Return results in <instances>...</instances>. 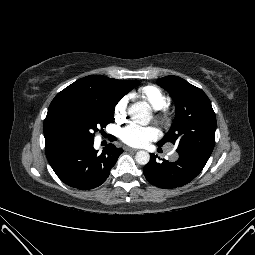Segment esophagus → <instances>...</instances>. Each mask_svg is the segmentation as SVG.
<instances>
[{
  "mask_svg": "<svg viewBox=\"0 0 255 255\" xmlns=\"http://www.w3.org/2000/svg\"><path fill=\"white\" fill-rule=\"evenodd\" d=\"M124 150L125 151H131V152H136L137 151V149H134V148H131V147H128V146H125Z\"/></svg>",
  "mask_w": 255,
  "mask_h": 255,
  "instance_id": "esophagus-1",
  "label": "esophagus"
}]
</instances>
